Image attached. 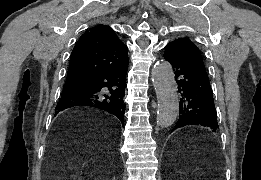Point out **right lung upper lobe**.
<instances>
[{
  "instance_id": "1",
  "label": "right lung upper lobe",
  "mask_w": 261,
  "mask_h": 180,
  "mask_svg": "<svg viewBox=\"0 0 261 180\" xmlns=\"http://www.w3.org/2000/svg\"><path fill=\"white\" fill-rule=\"evenodd\" d=\"M127 63V46L110 27L97 25L86 31L75 45L66 82H87L97 72Z\"/></svg>"
}]
</instances>
